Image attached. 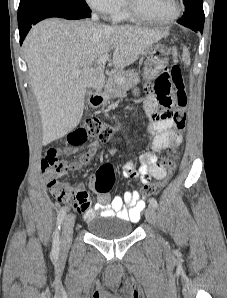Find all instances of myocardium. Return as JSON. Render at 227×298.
<instances>
[{
  "label": "myocardium",
  "mask_w": 227,
  "mask_h": 298,
  "mask_svg": "<svg viewBox=\"0 0 227 298\" xmlns=\"http://www.w3.org/2000/svg\"><path fill=\"white\" fill-rule=\"evenodd\" d=\"M174 3V12L171 16L165 19H154L148 17L141 13L136 7L134 0H123L124 9L126 13L133 19L139 22L156 24V25H165L174 22L181 14L182 6L179 0H173Z\"/></svg>",
  "instance_id": "1"
}]
</instances>
